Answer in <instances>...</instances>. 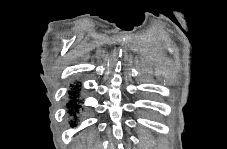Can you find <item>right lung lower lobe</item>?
<instances>
[{"label":"right lung lower lobe","instance_id":"right-lung-lower-lobe-1","mask_svg":"<svg viewBox=\"0 0 227 149\" xmlns=\"http://www.w3.org/2000/svg\"><path fill=\"white\" fill-rule=\"evenodd\" d=\"M78 93H79V89L77 87H75L73 91L69 92L70 101L67 104V107L70 109L69 113L74 117H76V114L79 112V108L81 107L77 103V102H79L77 99V96H76V94H78ZM72 126H74V124H72Z\"/></svg>","mask_w":227,"mask_h":149}]
</instances>
